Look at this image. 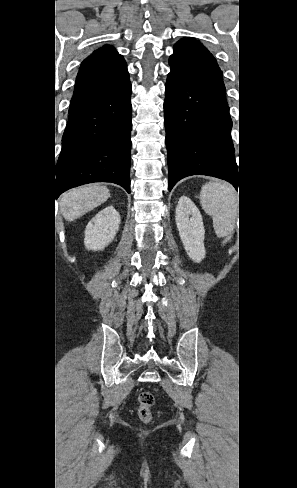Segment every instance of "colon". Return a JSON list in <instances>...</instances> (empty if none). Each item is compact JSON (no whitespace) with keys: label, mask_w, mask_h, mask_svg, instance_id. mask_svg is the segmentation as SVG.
I'll use <instances>...</instances> for the list:
<instances>
[{"label":"colon","mask_w":297,"mask_h":488,"mask_svg":"<svg viewBox=\"0 0 297 488\" xmlns=\"http://www.w3.org/2000/svg\"><path fill=\"white\" fill-rule=\"evenodd\" d=\"M138 402V417L144 423L150 422L153 416L152 408L155 403L154 395L148 391L141 392Z\"/></svg>","instance_id":"colon-1"}]
</instances>
